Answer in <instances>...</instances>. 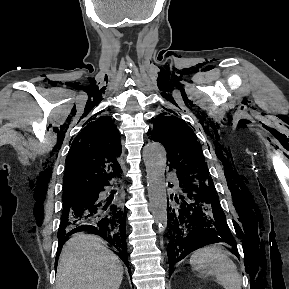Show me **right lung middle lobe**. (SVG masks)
Listing matches in <instances>:
<instances>
[{"label":"right lung middle lobe","mask_w":289,"mask_h":289,"mask_svg":"<svg viewBox=\"0 0 289 289\" xmlns=\"http://www.w3.org/2000/svg\"><path fill=\"white\" fill-rule=\"evenodd\" d=\"M87 198V193H80L72 196H63V209L72 208L75 205L80 204Z\"/></svg>","instance_id":"right-lung-middle-lobe-1"}]
</instances>
